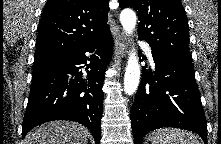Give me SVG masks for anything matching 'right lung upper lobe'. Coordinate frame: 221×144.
Instances as JSON below:
<instances>
[{"label":"right lung upper lobe","instance_id":"obj_1","mask_svg":"<svg viewBox=\"0 0 221 144\" xmlns=\"http://www.w3.org/2000/svg\"><path fill=\"white\" fill-rule=\"evenodd\" d=\"M108 0H48L34 55H62L110 30Z\"/></svg>","mask_w":221,"mask_h":144}]
</instances>
